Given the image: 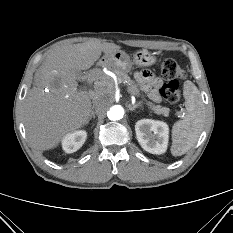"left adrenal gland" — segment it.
I'll use <instances>...</instances> for the list:
<instances>
[{
    "instance_id": "left-adrenal-gland-1",
    "label": "left adrenal gland",
    "mask_w": 233,
    "mask_h": 233,
    "mask_svg": "<svg viewBox=\"0 0 233 233\" xmlns=\"http://www.w3.org/2000/svg\"><path fill=\"white\" fill-rule=\"evenodd\" d=\"M141 106V102L135 104V105H129L128 108L130 111H135L137 108Z\"/></svg>"
}]
</instances>
